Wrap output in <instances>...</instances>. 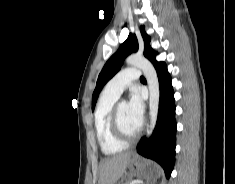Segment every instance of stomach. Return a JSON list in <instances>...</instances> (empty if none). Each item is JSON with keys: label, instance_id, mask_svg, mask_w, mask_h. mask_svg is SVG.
I'll use <instances>...</instances> for the list:
<instances>
[{"label": "stomach", "instance_id": "obj_1", "mask_svg": "<svg viewBox=\"0 0 235 184\" xmlns=\"http://www.w3.org/2000/svg\"><path fill=\"white\" fill-rule=\"evenodd\" d=\"M140 162L141 158H139L137 154H132L129 160L128 168L129 172H131V174H134V176H138V172L140 170ZM142 176H145V178H159L160 170L159 168H157V166H147Z\"/></svg>", "mask_w": 235, "mask_h": 184}]
</instances>
